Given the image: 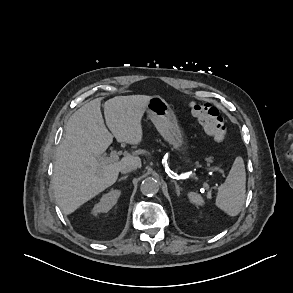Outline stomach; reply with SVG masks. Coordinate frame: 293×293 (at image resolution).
Wrapping results in <instances>:
<instances>
[{
	"instance_id": "obj_1",
	"label": "stomach",
	"mask_w": 293,
	"mask_h": 293,
	"mask_svg": "<svg viewBox=\"0 0 293 293\" xmlns=\"http://www.w3.org/2000/svg\"><path fill=\"white\" fill-rule=\"evenodd\" d=\"M146 111L164 140L173 149L185 154V138L168 103L160 96H152Z\"/></svg>"
}]
</instances>
